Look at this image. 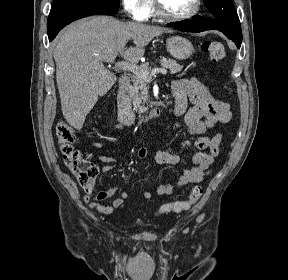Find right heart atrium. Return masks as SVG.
<instances>
[{"label": "right heart atrium", "mask_w": 288, "mask_h": 280, "mask_svg": "<svg viewBox=\"0 0 288 280\" xmlns=\"http://www.w3.org/2000/svg\"><path fill=\"white\" fill-rule=\"evenodd\" d=\"M124 12L133 20H145L152 8V0H121Z\"/></svg>", "instance_id": "1"}]
</instances>
